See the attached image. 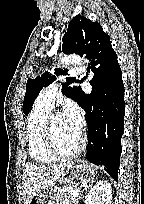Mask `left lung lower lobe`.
I'll list each match as a JSON object with an SVG mask.
<instances>
[{
  "instance_id": "left-lung-lower-lobe-1",
  "label": "left lung lower lobe",
  "mask_w": 144,
  "mask_h": 204,
  "mask_svg": "<svg viewBox=\"0 0 144 204\" xmlns=\"http://www.w3.org/2000/svg\"><path fill=\"white\" fill-rule=\"evenodd\" d=\"M92 93H83L80 106L88 124L86 158L118 181L121 138L124 132V85L118 61L107 68L92 67Z\"/></svg>"
}]
</instances>
